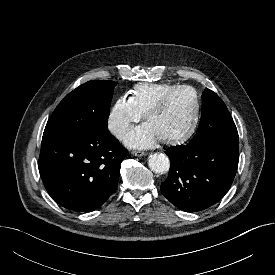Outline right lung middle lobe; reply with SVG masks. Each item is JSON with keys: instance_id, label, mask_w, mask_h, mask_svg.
<instances>
[{"instance_id": "1", "label": "right lung middle lobe", "mask_w": 275, "mask_h": 275, "mask_svg": "<svg viewBox=\"0 0 275 275\" xmlns=\"http://www.w3.org/2000/svg\"><path fill=\"white\" fill-rule=\"evenodd\" d=\"M114 81H88L70 92L56 107L45 127L49 136H82L107 129Z\"/></svg>"}]
</instances>
